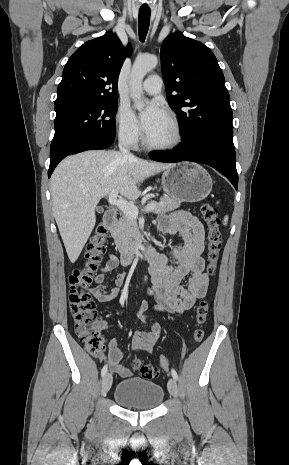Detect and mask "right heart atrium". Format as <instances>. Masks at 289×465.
Instances as JSON below:
<instances>
[{"label": "right heart atrium", "mask_w": 289, "mask_h": 465, "mask_svg": "<svg viewBox=\"0 0 289 465\" xmlns=\"http://www.w3.org/2000/svg\"><path fill=\"white\" fill-rule=\"evenodd\" d=\"M115 127L118 138L127 145L138 142L141 132L138 120L127 105H120L115 115Z\"/></svg>", "instance_id": "right-heart-atrium-1"}]
</instances>
